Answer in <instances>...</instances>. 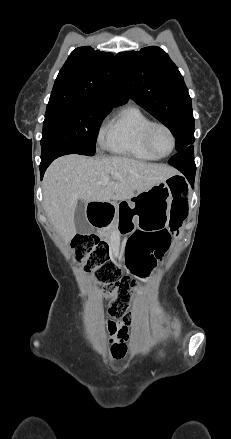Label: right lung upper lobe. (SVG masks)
Returning <instances> with one entry per match:
<instances>
[{"mask_svg":"<svg viewBox=\"0 0 231 439\" xmlns=\"http://www.w3.org/2000/svg\"><path fill=\"white\" fill-rule=\"evenodd\" d=\"M128 99L113 54L83 46L73 50L61 68L47 106L92 103L115 107Z\"/></svg>","mask_w":231,"mask_h":439,"instance_id":"obj_1","label":"right lung upper lobe"}]
</instances>
